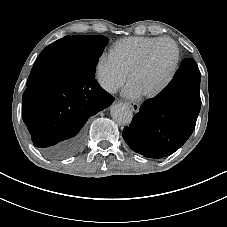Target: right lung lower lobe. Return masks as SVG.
<instances>
[{
	"label": "right lung lower lobe",
	"mask_w": 227,
	"mask_h": 227,
	"mask_svg": "<svg viewBox=\"0 0 227 227\" xmlns=\"http://www.w3.org/2000/svg\"><path fill=\"white\" fill-rule=\"evenodd\" d=\"M51 51L34 64L47 68L46 78L27 87L22 115L34 146L49 159H63L83 145L86 122L114 101L95 79H77L58 74Z\"/></svg>",
	"instance_id": "1"
}]
</instances>
